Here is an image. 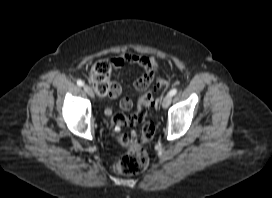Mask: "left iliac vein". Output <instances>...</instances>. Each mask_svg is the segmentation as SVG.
Wrapping results in <instances>:
<instances>
[{
  "label": "left iliac vein",
  "instance_id": "4c4485c4",
  "mask_svg": "<svg viewBox=\"0 0 272 198\" xmlns=\"http://www.w3.org/2000/svg\"><path fill=\"white\" fill-rule=\"evenodd\" d=\"M172 97L170 95H166L162 100V107L167 108L171 103Z\"/></svg>",
  "mask_w": 272,
  "mask_h": 198
}]
</instances>
